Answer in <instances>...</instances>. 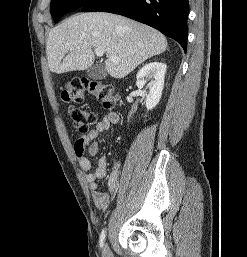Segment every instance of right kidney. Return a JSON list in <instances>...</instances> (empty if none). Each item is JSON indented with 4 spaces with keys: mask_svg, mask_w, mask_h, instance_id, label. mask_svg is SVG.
<instances>
[{
    "mask_svg": "<svg viewBox=\"0 0 247 257\" xmlns=\"http://www.w3.org/2000/svg\"><path fill=\"white\" fill-rule=\"evenodd\" d=\"M166 68V64L155 61L143 66L136 75V85L139 89L145 86L147 79H152L148 84L149 93L146 98L148 111L155 108L161 99Z\"/></svg>",
    "mask_w": 247,
    "mask_h": 257,
    "instance_id": "ca27d5eb",
    "label": "right kidney"
}]
</instances>
